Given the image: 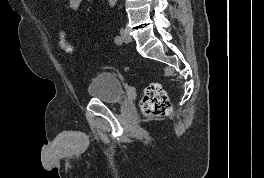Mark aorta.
<instances>
[{
    "instance_id": "obj_1",
    "label": "aorta",
    "mask_w": 264,
    "mask_h": 178,
    "mask_svg": "<svg viewBox=\"0 0 264 178\" xmlns=\"http://www.w3.org/2000/svg\"><path fill=\"white\" fill-rule=\"evenodd\" d=\"M116 2H117V0H109V5L111 7H113V6H115Z\"/></svg>"
}]
</instances>
